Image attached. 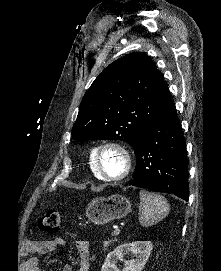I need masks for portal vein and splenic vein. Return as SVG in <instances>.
Wrapping results in <instances>:
<instances>
[{
  "mask_svg": "<svg viewBox=\"0 0 221 271\" xmlns=\"http://www.w3.org/2000/svg\"><path fill=\"white\" fill-rule=\"evenodd\" d=\"M121 229H114L112 235H118L120 233Z\"/></svg>",
  "mask_w": 221,
  "mask_h": 271,
  "instance_id": "1",
  "label": "portal vein and splenic vein"
}]
</instances>
